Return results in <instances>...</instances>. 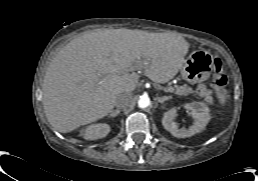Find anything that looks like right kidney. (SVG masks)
Returning a JSON list of instances; mask_svg holds the SVG:
<instances>
[{
	"mask_svg": "<svg viewBox=\"0 0 258 181\" xmlns=\"http://www.w3.org/2000/svg\"><path fill=\"white\" fill-rule=\"evenodd\" d=\"M110 132V126L106 123L91 124L82 129L80 135L86 140L104 138Z\"/></svg>",
	"mask_w": 258,
	"mask_h": 181,
	"instance_id": "ca27d5eb",
	"label": "right kidney"
}]
</instances>
